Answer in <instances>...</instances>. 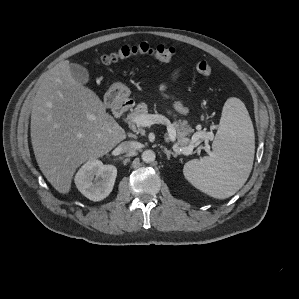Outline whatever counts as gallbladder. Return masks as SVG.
Segmentation results:
<instances>
[{
	"instance_id": "gallbladder-1",
	"label": "gallbladder",
	"mask_w": 299,
	"mask_h": 299,
	"mask_svg": "<svg viewBox=\"0 0 299 299\" xmlns=\"http://www.w3.org/2000/svg\"><path fill=\"white\" fill-rule=\"evenodd\" d=\"M70 71L73 78L80 84H87L90 81V74L88 70L77 63L70 64Z\"/></svg>"
}]
</instances>
